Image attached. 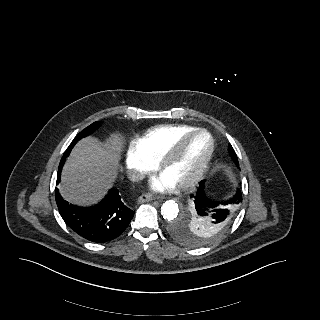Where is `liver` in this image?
Segmentation results:
<instances>
[{
	"label": "liver",
	"mask_w": 320,
	"mask_h": 320,
	"mask_svg": "<svg viewBox=\"0 0 320 320\" xmlns=\"http://www.w3.org/2000/svg\"><path fill=\"white\" fill-rule=\"evenodd\" d=\"M121 149V138L117 135L105 147L93 138L79 142L61 173L58 188L63 199L76 205L96 201L116 176Z\"/></svg>",
	"instance_id": "1"
}]
</instances>
